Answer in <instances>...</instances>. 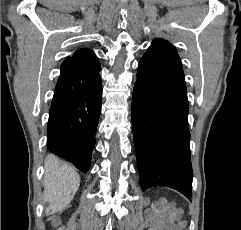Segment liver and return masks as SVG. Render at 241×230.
<instances>
[{"label":"liver","instance_id":"obj_1","mask_svg":"<svg viewBox=\"0 0 241 230\" xmlns=\"http://www.w3.org/2000/svg\"><path fill=\"white\" fill-rule=\"evenodd\" d=\"M45 170L46 199L50 202L46 213L50 214L70 204L79 188L80 178L71 165L60 162L54 155L47 156Z\"/></svg>","mask_w":241,"mask_h":230}]
</instances>
